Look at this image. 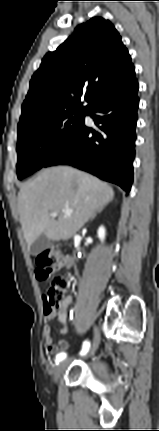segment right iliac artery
Here are the masks:
<instances>
[{
  "instance_id": "right-iliac-artery-1",
  "label": "right iliac artery",
  "mask_w": 159,
  "mask_h": 431,
  "mask_svg": "<svg viewBox=\"0 0 159 431\" xmlns=\"http://www.w3.org/2000/svg\"><path fill=\"white\" fill-rule=\"evenodd\" d=\"M89 348H90V342L89 341H85L84 344H83V348H82V350L80 352V355L83 356V355L87 354V352L89 351ZM66 356H67V354L65 352H62V353L58 354L56 356V363L58 364L60 361L64 360L66 358Z\"/></svg>"
}]
</instances>
